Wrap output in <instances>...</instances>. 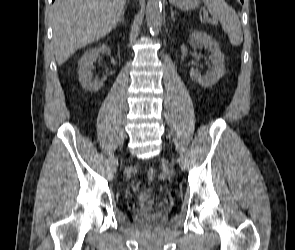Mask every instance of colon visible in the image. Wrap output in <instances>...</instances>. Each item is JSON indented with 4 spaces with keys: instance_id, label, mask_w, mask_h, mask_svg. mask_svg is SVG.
I'll list each match as a JSON object with an SVG mask.
<instances>
[{
    "instance_id": "5ec220e1",
    "label": "colon",
    "mask_w": 295,
    "mask_h": 250,
    "mask_svg": "<svg viewBox=\"0 0 295 250\" xmlns=\"http://www.w3.org/2000/svg\"><path fill=\"white\" fill-rule=\"evenodd\" d=\"M154 176H155V171H154V169H149L148 171H147V179L149 180V181H151L153 178H154Z\"/></svg>"
}]
</instances>
